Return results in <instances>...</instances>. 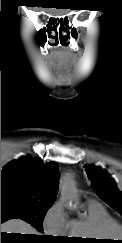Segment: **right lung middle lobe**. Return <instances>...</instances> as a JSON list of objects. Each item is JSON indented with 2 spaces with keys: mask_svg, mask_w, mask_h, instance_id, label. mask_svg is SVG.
I'll use <instances>...</instances> for the list:
<instances>
[{
  "mask_svg": "<svg viewBox=\"0 0 122 243\" xmlns=\"http://www.w3.org/2000/svg\"><path fill=\"white\" fill-rule=\"evenodd\" d=\"M52 203L38 202L16 196H1V221L19 218L43 231V219ZM43 239L45 236H42Z\"/></svg>",
  "mask_w": 122,
  "mask_h": 243,
  "instance_id": "obj_1",
  "label": "right lung middle lobe"
}]
</instances>
